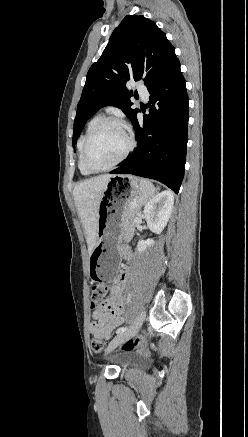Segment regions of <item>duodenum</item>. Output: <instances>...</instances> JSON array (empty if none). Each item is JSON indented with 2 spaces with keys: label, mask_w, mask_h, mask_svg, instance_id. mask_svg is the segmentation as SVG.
Masks as SVG:
<instances>
[{
  "label": "duodenum",
  "mask_w": 248,
  "mask_h": 437,
  "mask_svg": "<svg viewBox=\"0 0 248 437\" xmlns=\"http://www.w3.org/2000/svg\"><path fill=\"white\" fill-rule=\"evenodd\" d=\"M123 253H124V254H127V253H128V250H127V249H124V250H123Z\"/></svg>",
  "instance_id": "1"
}]
</instances>
